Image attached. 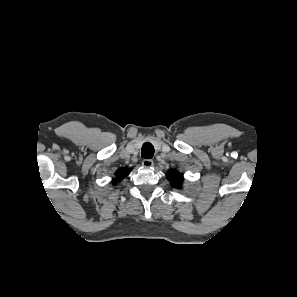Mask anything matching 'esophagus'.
Segmentation results:
<instances>
[{
	"label": "esophagus",
	"instance_id": "34e87169",
	"mask_svg": "<svg viewBox=\"0 0 297 297\" xmlns=\"http://www.w3.org/2000/svg\"><path fill=\"white\" fill-rule=\"evenodd\" d=\"M142 165H143L144 167H151V166L154 165V162H153V160H151V159H144V160L142 161Z\"/></svg>",
	"mask_w": 297,
	"mask_h": 297
}]
</instances>
